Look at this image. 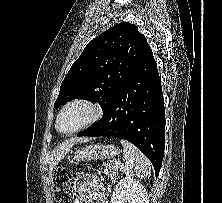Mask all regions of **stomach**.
<instances>
[{
  "instance_id": "1",
  "label": "stomach",
  "mask_w": 222,
  "mask_h": 203,
  "mask_svg": "<svg viewBox=\"0 0 222 203\" xmlns=\"http://www.w3.org/2000/svg\"><path fill=\"white\" fill-rule=\"evenodd\" d=\"M120 153V150L115 145H88L85 146L82 150L76 153V161H84V160H97V159H105L112 158Z\"/></svg>"
}]
</instances>
